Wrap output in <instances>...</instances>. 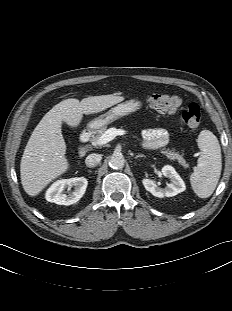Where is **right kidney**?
<instances>
[{
	"label": "right kidney",
	"instance_id": "1",
	"mask_svg": "<svg viewBox=\"0 0 232 311\" xmlns=\"http://www.w3.org/2000/svg\"><path fill=\"white\" fill-rule=\"evenodd\" d=\"M88 181L84 177L62 179L54 182L46 191V200L59 205L76 203L85 193ZM74 187L73 192L64 194L65 188Z\"/></svg>",
	"mask_w": 232,
	"mask_h": 311
}]
</instances>
